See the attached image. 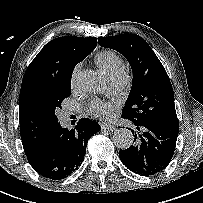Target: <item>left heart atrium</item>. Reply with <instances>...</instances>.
<instances>
[{"mask_svg":"<svg viewBox=\"0 0 203 203\" xmlns=\"http://www.w3.org/2000/svg\"><path fill=\"white\" fill-rule=\"evenodd\" d=\"M116 107L115 101L95 100L88 105L87 109L90 114L96 117L108 118Z\"/></svg>","mask_w":203,"mask_h":203,"instance_id":"left-heart-atrium-1","label":"left heart atrium"}]
</instances>
